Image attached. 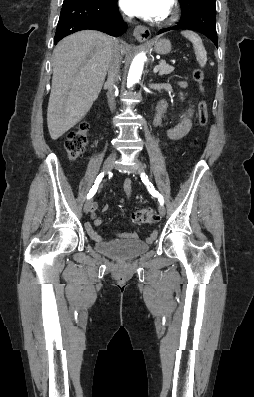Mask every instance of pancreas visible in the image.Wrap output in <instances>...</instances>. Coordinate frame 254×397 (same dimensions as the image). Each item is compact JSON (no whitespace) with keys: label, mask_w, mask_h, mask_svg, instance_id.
Instances as JSON below:
<instances>
[{"label":"pancreas","mask_w":254,"mask_h":397,"mask_svg":"<svg viewBox=\"0 0 254 397\" xmlns=\"http://www.w3.org/2000/svg\"><path fill=\"white\" fill-rule=\"evenodd\" d=\"M159 75H167L170 74L174 71V67L171 65L166 64L165 61H160L159 62Z\"/></svg>","instance_id":"pancreas-1"}]
</instances>
